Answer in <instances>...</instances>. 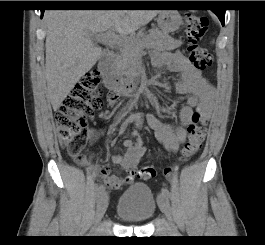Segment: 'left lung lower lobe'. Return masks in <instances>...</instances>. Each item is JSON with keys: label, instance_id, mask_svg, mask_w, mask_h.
<instances>
[{"label": "left lung lower lobe", "instance_id": "1", "mask_svg": "<svg viewBox=\"0 0 265 245\" xmlns=\"http://www.w3.org/2000/svg\"><path fill=\"white\" fill-rule=\"evenodd\" d=\"M212 11L219 17L222 25L224 26L225 10L224 9H213Z\"/></svg>", "mask_w": 265, "mask_h": 245}]
</instances>
